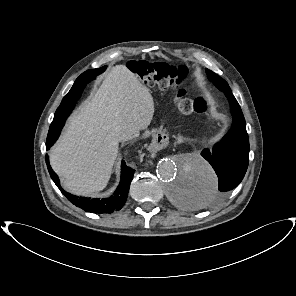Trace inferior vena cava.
Returning a JSON list of instances; mask_svg holds the SVG:
<instances>
[{
	"label": "inferior vena cava",
	"instance_id": "1",
	"mask_svg": "<svg viewBox=\"0 0 296 296\" xmlns=\"http://www.w3.org/2000/svg\"><path fill=\"white\" fill-rule=\"evenodd\" d=\"M137 136H138V134L135 131L126 132V133H123L122 135L119 136V141L125 142V141L131 140Z\"/></svg>",
	"mask_w": 296,
	"mask_h": 296
}]
</instances>
